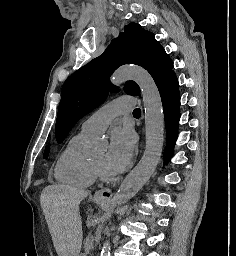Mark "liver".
<instances>
[{"label": "liver", "mask_w": 236, "mask_h": 256, "mask_svg": "<svg viewBox=\"0 0 236 256\" xmlns=\"http://www.w3.org/2000/svg\"><path fill=\"white\" fill-rule=\"evenodd\" d=\"M90 192L71 186H47L41 206L58 256H78L83 232L79 204Z\"/></svg>", "instance_id": "obj_1"}]
</instances>
